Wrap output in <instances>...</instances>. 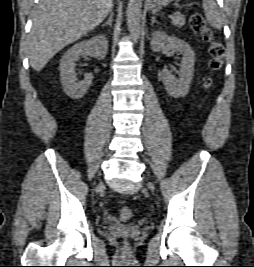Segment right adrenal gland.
I'll return each instance as SVG.
<instances>
[{
    "mask_svg": "<svg viewBox=\"0 0 254 267\" xmlns=\"http://www.w3.org/2000/svg\"><path fill=\"white\" fill-rule=\"evenodd\" d=\"M112 21H113V13L111 12V13H110V16H109V18H108V21L105 22L104 24H102V26H103V27H104V26H107V25L112 26Z\"/></svg>",
    "mask_w": 254,
    "mask_h": 267,
    "instance_id": "right-adrenal-gland-1",
    "label": "right adrenal gland"
}]
</instances>
